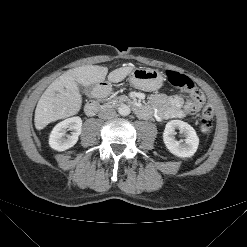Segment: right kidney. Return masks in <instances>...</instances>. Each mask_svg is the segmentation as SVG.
<instances>
[{
    "mask_svg": "<svg viewBox=\"0 0 247 247\" xmlns=\"http://www.w3.org/2000/svg\"><path fill=\"white\" fill-rule=\"evenodd\" d=\"M82 119L78 116L71 117L58 123L49 136V145L52 149L57 151H65L73 147L81 134ZM71 130L70 135L66 132ZM66 136L67 138H64Z\"/></svg>",
    "mask_w": 247,
    "mask_h": 247,
    "instance_id": "right-kidney-1",
    "label": "right kidney"
}]
</instances>
